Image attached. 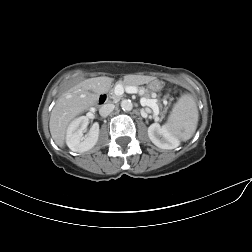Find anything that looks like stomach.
<instances>
[{"label":"stomach","instance_id":"obj_1","mask_svg":"<svg viewBox=\"0 0 252 252\" xmlns=\"http://www.w3.org/2000/svg\"><path fill=\"white\" fill-rule=\"evenodd\" d=\"M149 88L153 91H159L162 89V82H160L159 80H152L149 82Z\"/></svg>","mask_w":252,"mask_h":252}]
</instances>
